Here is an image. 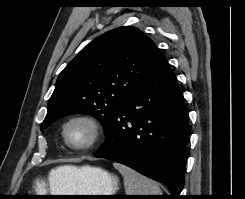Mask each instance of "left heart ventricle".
Masks as SVG:
<instances>
[{
	"label": "left heart ventricle",
	"mask_w": 245,
	"mask_h": 199,
	"mask_svg": "<svg viewBox=\"0 0 245 199\" xmlns=\"http://www.w3.org/2000/svg\"><path fill=\"white\" fill-rule=\"evenodd\" d=\"M91 129L82 121H75L67 128V137L74 145H84L91 139Z\"/></svg>",
	"instance_id": "left-heart-ventricle-1"
}]
</instances>
